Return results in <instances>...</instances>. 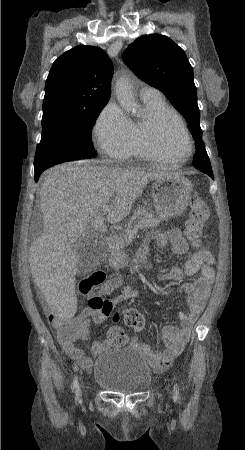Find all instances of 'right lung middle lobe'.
I'll list each match as a JSON object with an SVG mask.
<instances>
[{
  "instance_id": "right-lung-middle-lobe-1",
  "label": "right lung middle lobe",
  "mask_w": 245,
  "mask_h": 450,
  "mask_svg": "<svg viewBox=\"0 0 245 450\" xmlns=\"http://www.w3.org/2000/svg\"><path fill=\"white\" fill-rule=\"evenodd\" d=\"M105 105L90 110L43 109L42 137L40 149L35 154V170H45L64 161L95 157L91 127Z\"/></svg>"
}]
</instances>
